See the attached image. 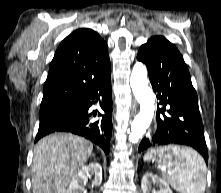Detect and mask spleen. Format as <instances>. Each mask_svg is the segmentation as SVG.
<instances>
[{
  "instance_id": "obj_1",
  "label": "spleen",
  "mask_w": 221,
  "mask_h": 193,
  "mask_svg": "<svg viewBox=\"0 0 221 193\" xmlns=\"http://www.w3.org/2000/svg\"><path fill=\"white\" fill-rule=\"evenodd\" d=\"M159 157L163 177L179 193H204L206 165L203 158L188 146H154L144 160Z\"/></svg>"
}]
</instances>
